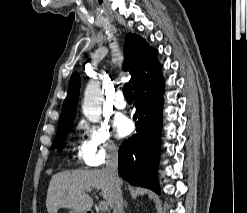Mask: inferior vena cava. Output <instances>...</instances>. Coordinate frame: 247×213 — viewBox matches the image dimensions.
<instances>
[{
	"instance_id": "inferior-vena-cava-1",
	"label": "inferior vena cava",
	"mask_w": 247,
	"mask_h": 213,
	"mask_svg": "<svg viewBox=\"0 0 247 213\" xmlns=\"http://www.w3.org/2000/svg\"><path fill=\"white\" fill-rule=\"evenodd\" d=\"M105 170L109 174V177L114 184L113 213H124L122 190H121L122 182L118 176V150L115 146H108Z\"/></svg>"
}]
</instances>
